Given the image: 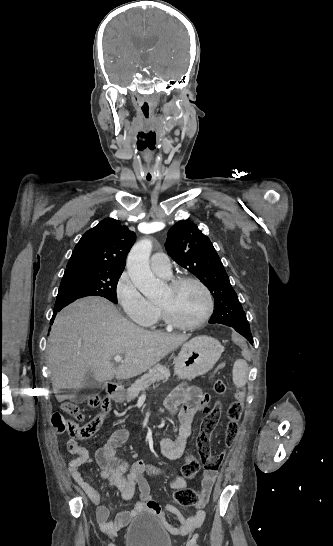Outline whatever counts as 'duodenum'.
<instances>
[{"mask_svg":"<svg viewBox=\"0 0 333 546\" xmlns=\"http://www.w3.org/2000/svg\"><path fill=\"white\" fill-rule=\"evenodd\" d=\"M107 393L110 399L117 400L121 394V389L116 384H109L107 386Z\"/></svg>","mask_w":333,"mask_h":546,"instance_id":"duodenum-1","label":"duodenum"}]
</instances>
